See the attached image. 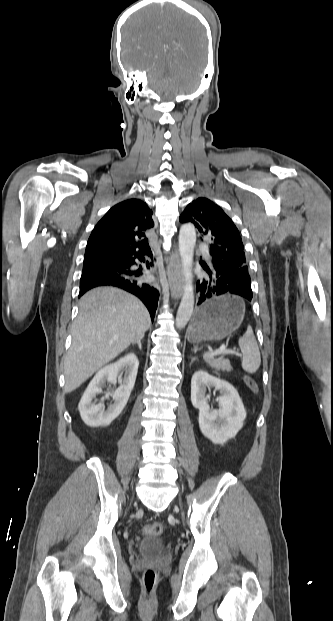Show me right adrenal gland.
Segmentation results:
<instances>
[{
    "instance_id": "obj_1",
    "label": "right adrenal gland",
    "mask_w": 333,
    "mask_h": 621,
    "mask_svg": "<svg viewBox=\"0 0 333 621\" xmlns=\"http://www.w3.org/2000/svg\"><path fill=\"white\" fill-rule=\"evenodd\" d=\"M143 337H144V336H141L140 338H138L136 341H134V342L132 343V345H134V344H138L139 349H140V350H142L141 340L143 339Z\"/></svg>"
}]
</instances>
